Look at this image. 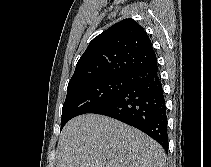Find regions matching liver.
I'll return each mask as SVG.
<instances>
[{
  "label": "liver",
  "mask_w": 211,
  "mask_h": 167,
  "mask_svg": "<svg viewBox=\"0 0 211 167\" xmlns=\"http://www.w3.org/2000/svg\"><path fill=\"white\" fill-rule=\"evenodd\" d=\"M164 149L143 132L113 118L85 114L63 128L56 167H165Z\"/></svg>",
  "instance_id": "obj_1"
}]
</instances>
